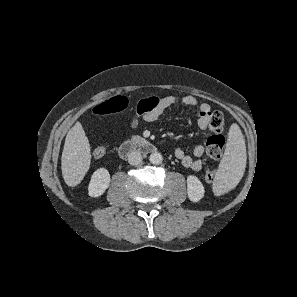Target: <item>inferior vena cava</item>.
Returning <instances> with one entry per match:
<instances>
[{
	"mask_svg": "<svg viewBox=\"0 0 297 297\" xmlns=\"http://www.w3.org/2000/svg\"><path fill=\"white\" fill-rule=\"evenodd\" d=\"M142 162V155L138 151H132L128 154V163L138 165Z\"/></svg>",
	"mask_w": 297,
	"mask_h": 297,
	"instance_id": "1",
	"label": "inferior vena cava"
}]
</instances>
